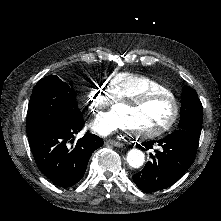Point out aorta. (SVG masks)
<instances>
[{
	"label": "aorta",
	"instance_id": "obj_1",
	"mask_svg": "<svg viewBox=\"0 0 221 221\" xmlns=\"http://www.w3.org/2000/svg\"><path fill=\"white\" fill-rule=\"evenodd\" d=\"M144 153L139 149H131L127 153V162L133 168H139L144 164Z\"/></svg>",
	"mask_w": 221,
	"mask_h": 221
}]
</instances>
